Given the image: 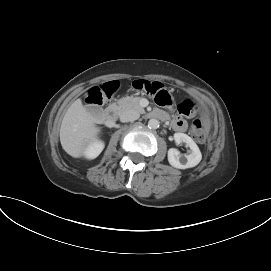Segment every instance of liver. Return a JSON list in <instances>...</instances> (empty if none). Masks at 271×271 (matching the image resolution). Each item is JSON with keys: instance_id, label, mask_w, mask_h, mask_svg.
<instances>
[{"instance_id": "6515ba94", "label": "liver", "mask_w": 271, "mask_h": 271, "mask_svg": "<svg viewBox=\"0 0 271 271\" xmlns=\"http://www.w3.org/2000/svg\"><path fill=\"white\" fill-rule=\"evenodd\" d=\"M95 122L93 116L83 106L81 99L71 104L60 128V142L67 154L74 158L84 155L87 146L96 140L100 132Z\"/></svg>"}]
</instances>
